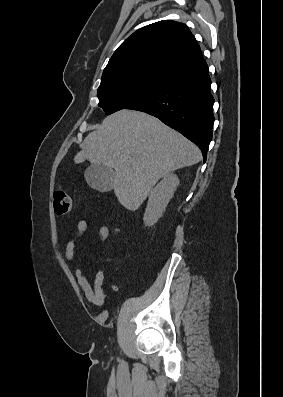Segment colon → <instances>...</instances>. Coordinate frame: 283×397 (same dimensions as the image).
Instances as JSON below:
<instances>
[{"mask_svg":"<svg viewBox=\"0 0 283 397\" xmlns=\"http://www.w3.org/2000/svg\"><path fill=\"white\" fill-rule=\"evenodd\" d=\"M54 210L57 214L62 215L68 213L72 208V200L70 195L63 189L54 191Z\"/></svg>","mask_w":283,"mask_h":397,"instance_id":"colon-1","label":"colon"}]
</instances>
